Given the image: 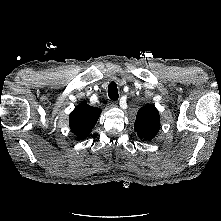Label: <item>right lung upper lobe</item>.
<instances>
[{"label": "right lung upper lobe", "instance_id": "right-lung-upper-lobe-1", "mask_svg": "<svg viewBox=\"0 0 221 221\" xmlns=\"http://www.w3.org/2000/svg\"><path fill=\"white\" fill-rule=\"evenodd\" d=\"M101 110L81 102L70 114L69 126L78 139L87 138L100 117Z\"/></svg>", "mask_w": 221, "mask_h": 221}]
</instances>
